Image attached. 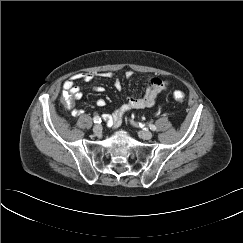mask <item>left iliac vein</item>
Here are the masks:
<instances>
[{
	"instance_id": "left-iliac-vein-1",
	"label": "left iliac vein",
	"mask_w": 243,
	"mask_h": 243,
	"mask_svg": "<svg viewBox=\"0 0 243 243\" xmlns=\"http://www.w3.org/2000/svg\"><path fill=\"white\" fill-rule=\"evenodd\" d=\"M139 137L144 139V140H150L152 138V133L148 130H142V131H139Z\"/></svg>"
}]
</instances>
